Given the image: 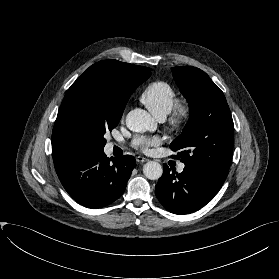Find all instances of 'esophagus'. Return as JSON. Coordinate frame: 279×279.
Returning <instances> with one entry per match:
<instances>
[{
  "mask_svg": "<svg viewBox=\"0 0 279 279\" xmlns=\"http://www.w3.org/2000/svg\"><path fill=\"white\" fill-rule=\"evenodd\" d=\"M136 161L139 162V163H143V162L148 161V159L145 158V157H142V156H137Z\"/></svg>",
  "mask_w": 279,
  "mask_h": 279,
  "instance_id": "esophagus-1",
  "label": "esophagus"
}]
</instances>
